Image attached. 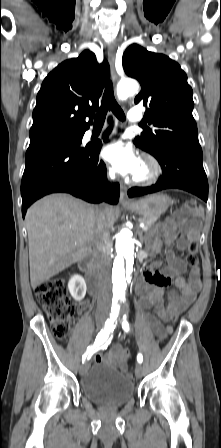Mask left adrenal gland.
Instances as JSON below:
<instances>
[{
    "mask_svg": "<svg viewBox=\"0 0 221 448\" xmlns=\"http://www.w3.org/2000/svg\"><path fill=\"white\" fill-rule=\"evenodd\" d=\"M138 235L141 241H144L143 233L142 231H138Z\"/></svg>",
    "mask_w": 221,
    "mask_h": 448,
    "instance_id": "a2214340",
    "label": "left adrenal gland"
}]
</instances>
